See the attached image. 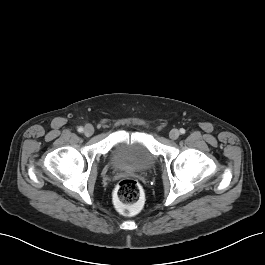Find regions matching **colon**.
<instances>
[{
  "label": "colon",
  "mask_w": 265,
  "mask_h": 265,
  "mask_svg": "<svg viewBox=\"0 0 265 265\" xmlns=\"http://www.w3.org/2000/svg\"><path fill=\"white\" fill-rule=\"evenodd\" d=\"M114 195L118 207L123 212L129 213L141 202L143 191L136 180L127 178L116 185Z\"/></svg>",
  "instance_id": "obj_1"
}]
</instances>
